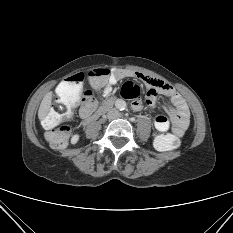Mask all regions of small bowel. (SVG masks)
Listing matches in <instances>:
<instances>
[{
  "label": "small bowel",
  "instance_id": "1",
  "mask_svg": "<svg viewBox=\"0 0 233 233\" xmlns=\"http://www.w3.org/2000/svg\"><path fill=\"white\" fill-rule=\"evenodd\" d=\"M126 78H133L148 88L147 98L143 102L140 98L138 85L133 83L134 86L128 98L131 99V106L135 111H143L152 107L158 94L170 98L173 106L165 107L170 120L164 115H158L155 118L154 125L159 132L164 133L171 128L176 136H182L189 124V109L183 97L167 82L140 72L127 69H114L102 87L103 96L108 98L112 93L113 86ZM94 110L95 104L89 105L84 102L79 109V115L81 118L87 120L92 117Z\"/></svg>",
  "mask_w": 233,
  "mask_h": 233
}]
</instances>
